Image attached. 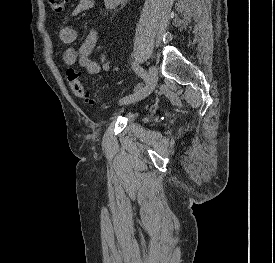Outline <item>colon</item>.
<instances>
[{
    "mask_svg": "<svg viewBox=\"0 0 275 263\" xmlns=\"http://www.w3.org/2000/svg\"><path fill=\"white\" fill-rule=\"evenodd\" d=\"M53 12L61 13L66 5L67 0H46ZM69 87L73 94L88 104L95 102L92 94L86 89L79 72L74 68H68L66 72Z\"/></svg>",
    "mask_w": 275,
    "mask_h": 263,
    "instance_id": "1",
    "label": "colon"
}]
</instances>
